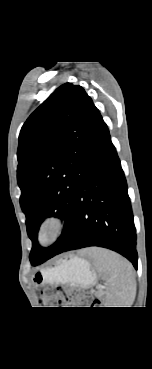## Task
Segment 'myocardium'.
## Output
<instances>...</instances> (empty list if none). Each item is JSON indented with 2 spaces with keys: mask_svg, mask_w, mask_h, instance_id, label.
Wrapping results in <instances>:
<instances>
[{
  "mask_svg": "<svg viewBox=\"0 0 152 369\" xmlns=\"http://www.w3.org/2000/svg\"><path fill=\"white\" fill-rule=\"evenodd\" d=\"M64 230V222L58 215L46 217L37 233L38 243L43 247H48L54 244L62 235Z\"/></svg>",
  "mask_w": 152,
  "mask_h": 369,
  "instance_id": "1",
  "label": "myocardium"
}]
</instances>
